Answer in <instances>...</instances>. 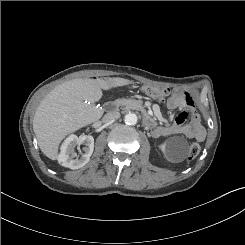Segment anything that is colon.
Wrapping results in <instances>:
<instances>
[{"label": "colon", "mask_w": 245, "mask_h": 245, "mask_svg": "<svg viewBox=\"0 0 245 245\" xmlns=\"http://www.w3.org/2000/svg\"><path fill=\"white\" fill-rule=\"evenodd\" d=\"M143 91L145 94L148 96L159 99V100H164L170 95V89L168 88H157L153 86H144ZM201 151V147L197 143H193L188 152V159L192 160L196 158Z\"/></svg>", "instance_id": "1"}]
</instances>
